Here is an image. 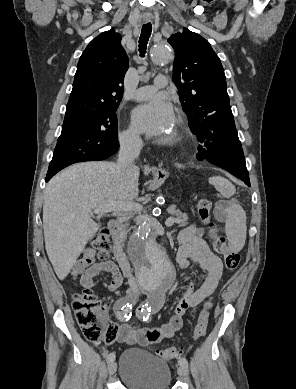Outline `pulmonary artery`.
<instances>
[{
	"instance_id": "pulmonary-artery-1",
	"label": "pulmonary artery",
	"mask_w": 296,
	"mask_h": 389,
	"mask_svg": "<svg viewBox=\"0 0 296 389\" xmlns=\"http://www.w3.org/2000/svg\"><path fill=\"white\" fill-rule=\"evenodd\" d=\"M166 85H167V78L164 75H158V76H156L153 85H147V86H143V87L138 88L135 91L133 98L135 100L148 99L152 95H154L158 89L163 88Z\"/></svg>"
}]
</instances>
